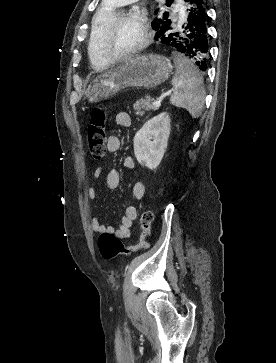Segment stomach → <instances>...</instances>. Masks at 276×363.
I'll use <instances>...</instances> for the list:
<instances>
[{
  "instance_id": "stomach-1",
  "label": "stomach",
  "mask_w": 276,
  "mask_h": 363,
  "mask_svg": "<svg viewBox=\"0 0 276 363\" xmlns=\"http://www.w3.org/2000/svg\"><path fill=\"white\" fill-rule=\"evenodd\" d=\"M172 69L171 61L165 56H134L94 79L85 97L90 103H97L112 98L128 87L153 89L170 77Z\"/></svg>"
}]
</instances>
